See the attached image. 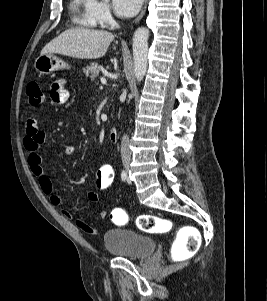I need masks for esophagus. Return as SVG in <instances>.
<instances>
[{
  "label": "esophagus",
  "instance_id": "esophagus-1",
  "mask_svg": "<svg viewBox=\"0 0 267 301\" xmlns=\"http://www.w3.org/2000/svg\"><path fill=\"white\" fill-rule=\"evenodd\" d=\"M147 1L148 0H145L144 6H143V8H142V10H141V12L139 14V16L135 19V21H134L135 24L139 23V21L142 19L143 15L145 13Z\"/></svg>",
  "mask_w": 267,
  "mask_h": 301
}]
</instances>
